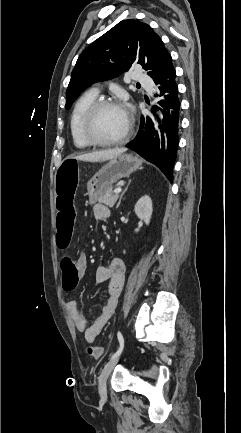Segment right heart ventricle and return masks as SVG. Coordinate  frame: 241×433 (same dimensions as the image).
Wrapping results in <instances>:
<instances>
[{
	"label": "right heart ventricle",
	"instance_id": "1",
	"mask_svg": "<svg viewBox=\"0 0 241 433\" xmlns=\"http://www.w3.org/2000/svg\"><path fill=\"white\" fill-rule=\"evenodd\" d=\"M96 99L97 94L93 91L85 92L79 97L73 107L70 118V132L73 144L79 149H86L92 145L83 134L82 123L86 112Z\"/></svg>",
	"mask_w": 241,
	"mask_h": 433
}]
</instances>
